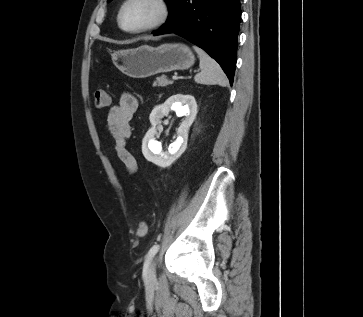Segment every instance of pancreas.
<instances>
[{"label": "pancreas", "instance_id": "cf45deb5", "mask_svg": "<svg viewBox=\"0 0 363 317\" xmlns=\"http://www.w3.org/2000/svg\"><path fill=\"white\" fill-rule=\"evenodd\" d=\"M173 82L168 80L166 76H161V77H157L156 81L153 83V85H158V86H162L165 87L167 85L172 84Z\"/></svg>", "mask_w": 363, "mask_h": 317}]
</instances>
